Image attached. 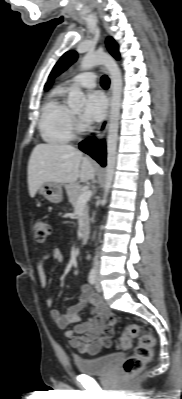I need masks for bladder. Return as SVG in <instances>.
<instances>
[{
	"instance_id": "1",
	"label": "bladder",
	"mask_w": 182,
	"mask_h": 399,
	"mask_svg": "<svg viewBox=\"0 0 182 399\" xmlns=\"http://www.w3.org/2000/svg\"><path fill=\"white\" fill-rule=\"evenodd\" d=\"M121 358L120 353H108L89 359L75 358L74 363L81 374L102 375L106 374L114 363Z\"/></svg>"
}]
</instances>
